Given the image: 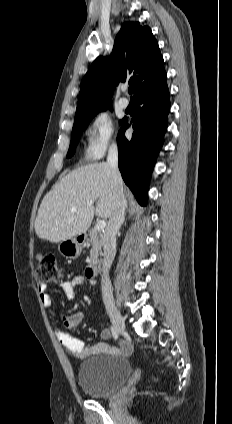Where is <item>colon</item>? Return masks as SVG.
<instances>
[{
	"label": "colon",
	"instance_id": "obj_1",
	"mask_svg": "<svg viewBox=\"0 0 232 424\" xmlns=\"http://www.w3.org/2000/svg\"><path fill=\"white\" fill-rule=\"evenodd\" d=\"M65 276L66 272L58 265L54 254L44 253L38 256L36 279L40 284H54L64 280Z\"/></svg>",
	"mask_w": 232,
	"mask_h": 424
}]
</instances>
